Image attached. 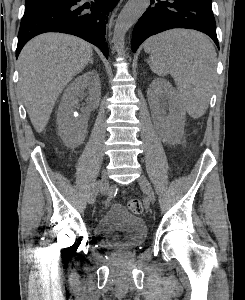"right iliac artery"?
I'll return each mask as SVG.
<instances>
[{
  "label": "right iliac artery",
  "mask_w": 245,
  "mask_h": 300,
  "mask_svg": "<svg viewBox=\"0 0 245 300\" xmlns=\"http://www.w3.org/2000/svg\"><path fill=\"white\" fill-rule=\"evenodd\" d=\"M108 189H109L108 186H106V184H105V186L100 187L99 193L105 195V194H107Z\"/></svg>",
  "instance_id": "82829eb1"
}]
</instances>
